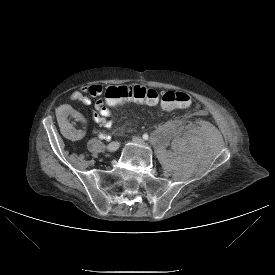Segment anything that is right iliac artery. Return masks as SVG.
Listing matches in <instances>:
<instances>
[{
	"label": "right iliac artery",
	"instance_id": "82829eb1",
	"mask_svg": "<svg viewBox=\"0 0 275 275\" xmlns=\"http://www.w3.org/2000/svg\"><path fill=\"white\" fill-rule=\"evenodd\" d=\"M99 138L102 139V140L103 139L110 140V136L109 135H104V134H100Z\"/></svg>",
	"mask_w": 275,
	"mask_h": 275
}]
</instances>
